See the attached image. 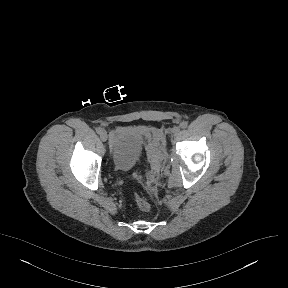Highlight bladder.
<instances>
[{
	"label": "bladder",
	"mask_w": 288,
	"mask_h": 288,
	"mask_svg": "<svg viewBox=\"0 0 288 288\" xmlns=\"http://www.w3.org/2000/svg\"><path fill=\"white\" fill-rule=\"evenodd\" d=\"M147 146V132L143 129L122 126L112 130L109 136V154L113 166L119 171L131 170Z\"/></svg>",
	"instance_id": "bladder-1"
}]
</instances>
